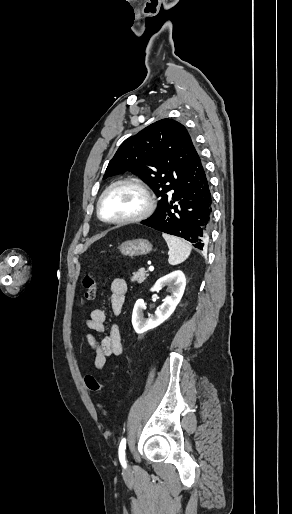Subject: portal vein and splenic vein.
I'll return each instance as SVG.
<instances>
[{"label": "portal vein and splenic vein", "mask_w": 292, "mask_h": 514, "mask_svg": "<svg viewBox=\"0 0 292 514\" xmlns=\"http://www.w3.org/2000/svg\"><path fill=\"white\" fill-rule=\"evenodd\" d=\"M149 270H150V272H153V270H154L153 266H150Z\"/></svg>", "instance_id": "obj_1"}]
</instances>
